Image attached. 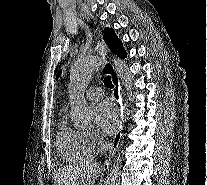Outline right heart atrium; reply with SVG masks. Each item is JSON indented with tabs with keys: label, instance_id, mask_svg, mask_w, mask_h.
Segmentation results:
<instances>
[{
	"label": "right heart atrium",
	"instance_id": "obj_1",
	"mask_svg": "<svg viewBox=\"0 0 207 185\" xmlns=\"http://www.w3.org/2000/svg\"><path fill=\"white\" fill-rule=\"evenodd\" d=\"M89 139L95 143L96 145H101L103 143V139L94 131L86 132Z\"/></svg>",
	"mask_w": 207,
	"mask_h": 185
}]
</instances>
